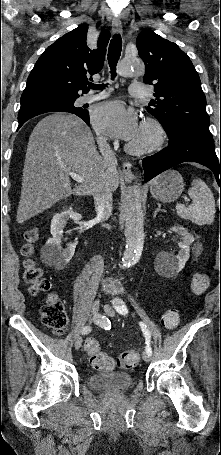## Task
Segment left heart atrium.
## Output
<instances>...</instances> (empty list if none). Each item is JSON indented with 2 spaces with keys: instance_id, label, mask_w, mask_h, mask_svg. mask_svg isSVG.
I'll return each mask as SVG.
<instances>
[{
  "instance_id": "left-heart-atrium-1",
  "label": "left heart atrium",
  "mask_w": 221,
  "mask_h": 455,
  "mask_svg": "<svg viewBox=\"0 0 221 455\" xmlns=\"http://www.w3.org/2000/svg\"><path fill=\"white\" fill-rule=\"evenodd\" d=\"M95 128L111 137L132 140L139 131L136 113L119 101L99 105L93 112Z\"/></svg>"
}]
</instances>
